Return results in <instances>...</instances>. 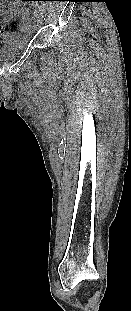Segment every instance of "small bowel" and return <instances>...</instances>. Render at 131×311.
Instances as JSON below:
<instances>
[{"label":"small bowel","mask_w":131,"mask_h":311,"mask_svg":"<svg viewBox=\"0 0 131 311\" xmlns=\"http://www.w3.org/2000/svg\"><path fill=\"white\" fill-rule=\"evenodd\" d=\"M2 30V27H1V25H0V33H3V31H1Z\"/></svg>","instance_id":"c3829d8e"}]
</instances>
